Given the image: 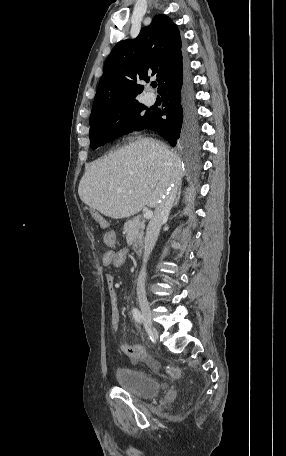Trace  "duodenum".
<instances>
[{
  "label": "duodenum",
  "mask_w": 286,
  "mask_h": 456,
  "mask_svg": "<svg viewBox=\"0 0 286 456\" xmlns=\"http://www.w3.org/2000/svg\"><path fill=\"white\" fill-rule=\"evenodd\" d=\"M144 250V242L138 241L134 244V251L136 254H141Z\"/></svg>",
  "instance_id": "1"
}]
</instances>
